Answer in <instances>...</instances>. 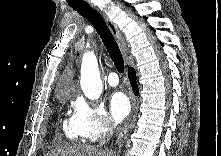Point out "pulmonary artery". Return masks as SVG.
<instances>
[{"mask_svg": "<svg viewBox=\"0 0 221 156\" xmlns=\"http://www.w3.org/2000/svg\"><path fill=\"white\" fill-rule=\"evenodd\" d=\"M107 82L110 86H117L119 83L118 75L115 72H111L107 77Z\"/></svg>", "mask_w": 221, "mask_h": 156, "instance_id": "pulmonary-artery-1", "label": "pulmonary artery"}]
</instances>
